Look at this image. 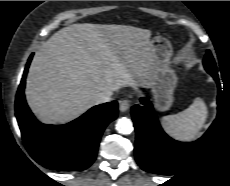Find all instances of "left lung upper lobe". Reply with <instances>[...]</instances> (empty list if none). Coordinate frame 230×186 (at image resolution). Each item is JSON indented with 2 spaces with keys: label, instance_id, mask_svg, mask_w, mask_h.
<instances>
[{
  "label": "left lung upper lobe",
  "instance_id": "obj_1",
  "mask_svg": "<svg viewBox=\"0 0 230 186\" xmlns=\"http://www.w3.org/2000/svg\"><path fill=\"white\" fill-rule=\"evenodd\" d=\"M203 64H204L206 71L209 74H211L212 76L217 74L216 65H215L214 59L210 51H207V54L205 55L204 60H203Z\"/></svg>",
  "mask_w": 230,
  "mask_h": 186
}]
</instances>
